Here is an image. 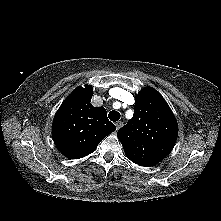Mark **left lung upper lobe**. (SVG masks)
Wrapping results in <instances>:
<instances>
[{
	"instance_id": "5c2ea615",
	"label": "left lung upper lobe",
	"mask_w": 221,
	"mask_h": 221,
	"mask_svg": "<svg viewBox=\"0 0 221 221\" xmlns=\"http://www.w3.org/2000/svg\"><path fill=\"white\" fill-rule=\"evenodd\" d=\"M134 115L117 133L126 156L140 166H152L173 149L178 125L173 112L155 89L135 97Z\"/></svg>"
}]
</instances>
